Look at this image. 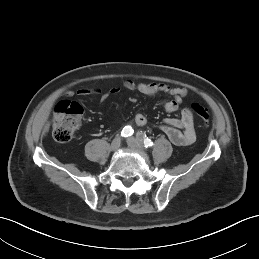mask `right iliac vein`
Returning a JSON list of instances; mask_svg holds the SVG:
<instances>
[{
  "label": "right iliac vein",
  "mask_w": 259,
  "mask_h": 259,
  "mask_svg": "<svg viewBox=\"0 0 259 259\" xmlns=\"http://www.w3.org/2000/svg\"><path fill=\"white\" fill-rule=\"evenodd\" d=\"M121 145V138L116 137L113 139V141L110 144V150L111 151H116Z\"/></svg>",
  "instance_id": "right-iliac-vein-1"
}]
</instances>
